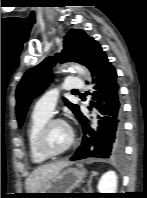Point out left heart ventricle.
Wrapping results in <instances>:
<instances>
[{
	"mask_svg": "<svg viewBox=\"0 0 147 198\" xmlns=\"http://www.w3.org/2000/svg\"><path fill=\"white\" fill-rule=\"evenodd\" d=\"M69 139V130L62 123L53 124L48 132V145L52 150H60Z\"/></svg>",
	"mask_w": 147,
	"mask_h": 198,
	"instance_id": "obj_1",
	"label": "left heart ventricle"
}]
</instances>
